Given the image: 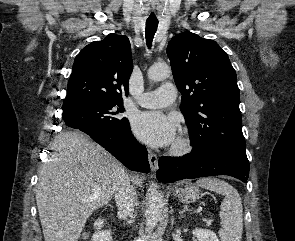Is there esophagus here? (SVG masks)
Instances as JSON below:
<instances>
[{"label":"esophagus","mask_w":295,"mask_h":241,"mask_svg":"<svg viewBox=\"0 0 295 241\" xmlns=\"http://www.w3.org/2000/svg\"><path fill=\"white\" fill-rule=\"evenodd\" d=\"M148 159H149V164L150 168L153 172H156L158 169V157L155 153L152 151H148Z\"/></svg>","instance_id":"esophagus-1"}]
</instances>
